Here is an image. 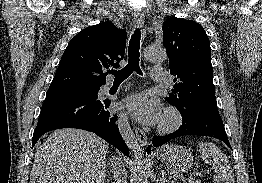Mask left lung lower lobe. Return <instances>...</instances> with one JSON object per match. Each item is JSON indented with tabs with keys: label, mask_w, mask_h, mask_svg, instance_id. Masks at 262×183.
<instances>
[{
	"label": "left lung lower lobe",
	"mask_w": 262,
	"mask_h": 183,
	"mask_svg": "<svg viewBox=\"0 0 262 183\" xmlns=\"http://www.w3.org/2000/svg\"><path fill=\"white\" fill-rule=\"evenodd\" d=\"M183 124L175 132L165 136L153 137L152 143L147 148V152L151 151V147H158L169 140L185 135L210 136L222 140L230 149L222 119L219 112L216 111H195L182 114Z\"/></svg>",
	"instance_id": "1"
}]
</instances>
